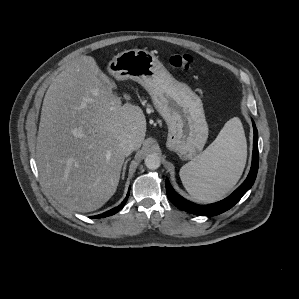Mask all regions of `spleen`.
I'll use <instances>...</instances> for the list:
<instances>
[{
	"label": "spleen",
	"mask_w": 299,
	"mask_h": 299,
	"mask_svg": "<svg viewBox=\"0 0 299 299\" xmlns=\"http://www.w3.org/2000/svg\"><path fill=\"white\" fill-rule=\"evenodd\" d=\"M246 152L242 123L234 117L200 155L181 167L179 174L185 189L202 202L222 199L240 179Z\"/></svg>",
	"instance_id": "obj_1"
}]
</instances>
